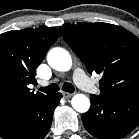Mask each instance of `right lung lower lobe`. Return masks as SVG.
Returning <instances> with one entry per match:
<instances>
[{"label":"right lung lower lobe","instance_id":"obj_1","mask_svg":"<svg viewBox=\"0 0 139 139\" xmlns=\"http://www.w3.org/2000/svg\"><path fill=\"white\" fill-rule=\"evenodd\" d=\"M62 95L47 96L37 104L0 118L3 139H43L48 133L55 108Z\"/></svg>","mask_w":139,"mask_h":139}]
</instances>
